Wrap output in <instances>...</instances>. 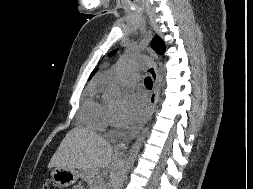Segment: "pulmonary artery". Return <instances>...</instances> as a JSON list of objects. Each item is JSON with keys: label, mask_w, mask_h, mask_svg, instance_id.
Instances as JSON below:
<instances>
[{"label": "pulmonary artery", "mask_w": 253, "mask_h": 189, "mask_svg": "<svg viewBox=\"0 0 253 189\" xmlns=\"http://www.w3.org/2000/svg\"><path fill=\"white\" fill-rule=\"evenodd\" d=\"M138 81V76L134 73H128L124 76V82L128 84H135Z\"/></svg>", "instance_id": "obj_1"}]
</instances>
